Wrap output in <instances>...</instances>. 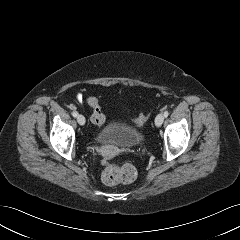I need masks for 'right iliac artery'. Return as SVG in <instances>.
I'll return each mask as SVG.
<instances>
[{
	"instance_id": "obj_1",
	"label": "right iliac artery",
	"mask_w": 240,
	"mask_h": 240,
	"mask_svg": "<svg viewBox=\"0 0 240 240\" xmlns=\"http://www.w3.org/2000/svg\"><path fill=\"white\" fill-rule=\"evenodd\" d=\"M77 115H78V113H77L76 111H73V112H72V116H73V117H77Z\"/></svg>"
}]
</instances>
